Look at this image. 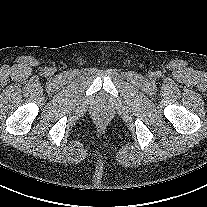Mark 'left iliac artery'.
<instances>
[{"label":"left iliac artery","instance_id":"1","mask_svg":"<svg viewBox=\"0 0 207 207\" xmlns=\"http://www.w3.org/2000/svg\"><path fill=\"white\" fill-rule=\"evenodd\" d=\"M157 76H158V77H160V76H161V73H160V72H158V73H157Z\"/></svg>","mask_w":207,"mask_h":207}]
</instances>
